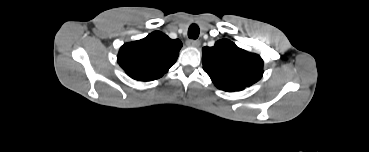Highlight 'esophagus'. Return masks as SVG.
Returning a JSON list of instances; mask_svg holds the SVG:
<instances>
[{"instance_id": "obj_1", "label": "esophagus", "mask_w": 369, "mask_h": 152, "mask_svg": "<svg viewBox=\"0 0 369 152\" xmlns=\"http://www.w3.org/2000/svg\"><path fill=\"white\" fill-rule=\"evenodd\" d=\"M187 45L190 47H199L200 46V41L199 40H189L187 41Z\"/></svg>"}]
</instances>
